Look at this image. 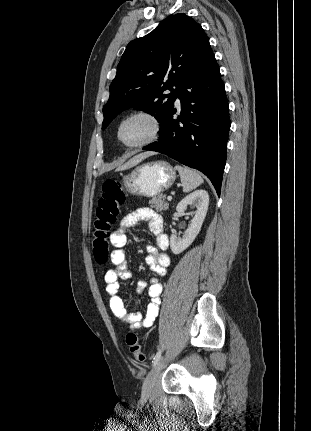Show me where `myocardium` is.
<instances>
[{"label": "myocardium", "mask_w": 311, "mask_h": 431, "mask_svg": "<svg viewBox=\"0 0 311 431\" xmlns=\"http://www.w3.org/2000/svg\"><path fill=\"white\" fill-rule=\"evenodd\" d=\"M137 115L145 116V117L149 118L154 124V131L151 134V136L144 141L134 143V144L124 143L118 135L119 125L124 119L131 117V116H137ZM163 127H164L163 121H162L161 117L158 115V113H156L155 111L148 109V108H139V109H135V110H132L130 112H127L124 115H122L121 117H119V119L116 121L115 126H114V135H115L117 141L122 146H124L125 148L136 149V148H142V147L149 146V145L153 144L154 142H156L163 133Z\"/></svg>", "instance_id": "obj_1"}]
</instances>
